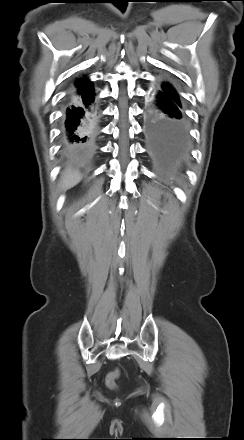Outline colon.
<instances>
[{"mask_svg": "<svg viewBox=\"0 0 244 440\" xmlns=\"http://www.w3.org/2000/svg\"><path fill=\"white\" fill-rule=\"evenodd\" d=\"M119 377V371L115 370L107 375L106 384L109 388L115 389L117 387L116 381Z\"/></svg>", "mask_w": 244, "mask_h": 440, "instance_id": "1", "label": "colon"}]
</instances>
